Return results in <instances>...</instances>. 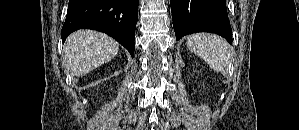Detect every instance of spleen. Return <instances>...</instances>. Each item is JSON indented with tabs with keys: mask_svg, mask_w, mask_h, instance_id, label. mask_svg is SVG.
I'll return each mask as SVG.
<instances>
[{
	"mask_svg": "<svg viewBox=\"0 0 299 130\" xmlns=\"http://www.w3.org/2000/svg\"><path fill=\"white\" fill-rule=\"evenodd\" d=\"M187 47L214 71L223 75L227 73L230 50L223 38L213 34H192L187 38Z\"/></svg>",
	"mask_w": 299,
	"mask_h": 130,
	"instance_id": "obj_1",
	"label": "spleen"
}]
</instances>
